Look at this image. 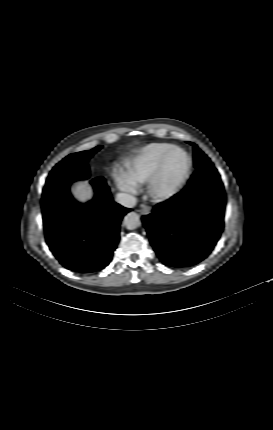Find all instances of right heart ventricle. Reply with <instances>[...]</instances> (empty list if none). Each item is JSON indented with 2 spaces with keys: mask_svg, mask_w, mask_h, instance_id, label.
<instances>
[{
  "mask_svg": "<svg viewBox=\"0 0 273 430\" xmlns=\"http://www.w3.org/2000/svg\"><path fill=\"white\" fill-rule=\"evenodd\" d=\"M173 145L166 142H154L142 146L125 163V173L135 184L148 182L160 158Z\"/></svg>",
  "mask_w": 273,
  "mask_h": 430,
  "instance_id": "obj_1",
  "label": "right heart ventricle"
}]
</instances>
